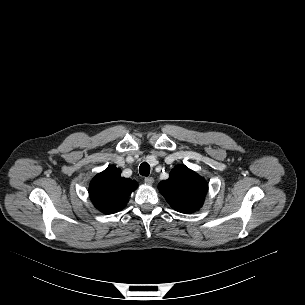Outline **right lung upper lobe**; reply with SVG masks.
<instances>
[{
    "mask_svg": "<svg viewBox=\"0 0 305 305\" xmlns=\"http://www.w3.org/2000/svg\"><path fill=\"white\" fill-rule=\"evenodd\" d=\"M137 187L135 180L121 177V170L110 165L92 179L89 196L99 211L113 214L126 206L128 197Z\"/></svg>",
    "mask_w": 305,
    "mask_h": 305,
    "instance_id": "cb5924a9",
    "label": "right lung upper lobe"
}]
</instances>
